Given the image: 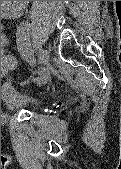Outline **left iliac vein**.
Listing matches in <instances>:
<instances>
[{
  "label": "left iliac vein",
  "instance_id": "4c4485c4",
  "mask_svg": "<svg viewBox=\"0 0 121 169\" xmlns=\"http://www.w3.org/2000/svg\"><path fill=\"white\" fill-rule=\"evenodd\" d=\"M50 54L47 50L41 49L40 51V61L42 64L47 65L49 62ZM50 77V70L48 67L44 68L42 71V74L39 75V77L36 79V83L38 85H42L47 83Z\"/></svg>",
  "mask_w": 121,
  "mask_h": 169
}]
</instances>
